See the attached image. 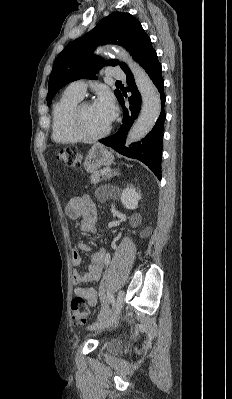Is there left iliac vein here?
Wrapping results in <instances>:
<instances>
[{"mask_svg": "<svg viewBox=\"0 0 232 399\" xmlns=\"http://www.w3.org/2000/svg\"><path fill=\"white\" fill-rule=\"evenodd\" d=\"M124 299H125V292L124 291H119L118 296H117V306L114 308L113 315L109 320H106L105 323H101L98 325H93L91 327L97 329L101 328H107L110 327L112 323L116 322L117 316L120 314V311L123 309V304H124Z\"/></svg>", "mask_w": 232, "mask_h": 399, "instance_id": "4c4485c4", "label": "left iliac vein"}]
</instances>
